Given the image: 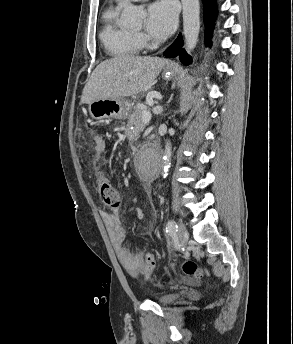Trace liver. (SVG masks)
<instances>
[{
    "label": "liver",
    "instance_id": "6515ba94",
    "mask_svg": "<svg viewBox=\"0 0 293 344\" xmlns=\"http://www.w3.org/2000/svg\"><path fill=\"white\" fill-rule=\"evenodd\" d=\"M159 57L120 55L100 63L86 83L81 102L134 96L146 90L165 66Z\"/></svg>",
    "mask_w": 293,
    "mask_h": 344
}]
</instances>
